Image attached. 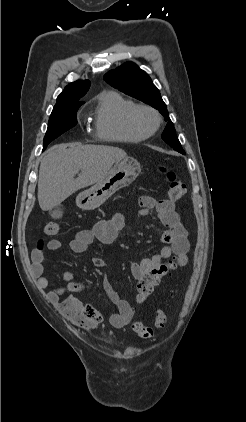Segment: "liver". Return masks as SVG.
I'll return each mask as SVG.
<instances>
[{"label": "liver", "instance_id": "6515ba94", "mask_svg": "<svg viewBox=\"0 0 246 422\" xmlns=\"http://www.w3.org/2000/svg\"><path fill=\"white\" fill-rule=\"evenodd\" d=\"M127 157L122 149L79 143L54 145L41 160L38 202L43 211L67 199L76 191L101 181L114 163ZM81 171L74 179V175Z\"/></svg>", "mask_w": 246, "mask_h": 422}]
</instances>
